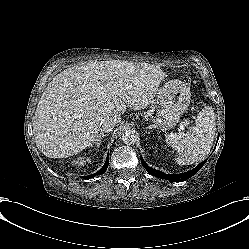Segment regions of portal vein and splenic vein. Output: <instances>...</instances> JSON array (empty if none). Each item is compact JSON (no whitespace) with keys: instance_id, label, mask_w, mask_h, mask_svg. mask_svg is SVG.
Masks as SVG:
<instances>
[{"instance_id":"obj_1","label":"portal vein and splenic vein","mask_w":249,"mask_h":249,"mask_svg":"<svg viewBox=\"0 0 249 249\" xmlns=\"http://www.w3.org/2000/svg\"><path fill=\"white\" fill-rule=\"evenodd\" d=\"M180 129H181L182 131H184V125H182V126L180 127Z\"/></svg>"}]
</instances>
